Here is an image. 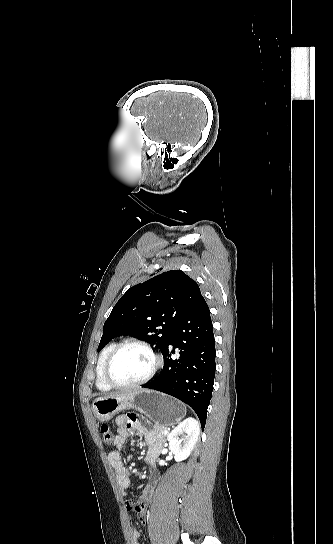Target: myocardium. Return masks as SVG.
<instances>
[{"mask_svg": "<svg viewBox=\"0 0 333 544\" xmlns=\"http://www.w3.org/2000/svg\"><path fill=\"white\" fill-rule=\"evenodd\" d=\"M129 346H136V347L142 348L145 351H147L149 353V355L151 356V358H152V367H151L150 371L148 372V374L146 376H144L143 378H141V379H139L137 381L130 382V383H119V382H116L111 377V373H110L111 366H112V363H113L114 359L118 355V353L122 349H124L126 347H129ZM161 366H162V358L156 352V350L151 346V344H149L148 342L142 341V340H134V339L133 340H126L124 342H121V343L117 344L115 346V348L108 355V357H107V359L105 361V364H104V368H103V377H104V380L106 381V383L109 384L111 387L120 388V389L133 388V387L144 385L147 382H149L156 375V373L161 368Z\"/></svg>", "mask_w": 333, "mask_h": 544, "instance_id": "obj_1", "label": "myocardium"}]
</instances>
